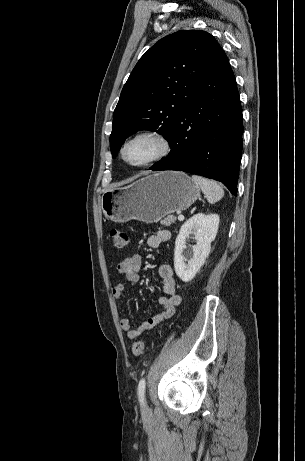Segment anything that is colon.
<instances>
[{
    "label": "colon",
    "mask_w": 305,
    "mask_h": 461,
    "mask_svg": "<svg viewBox=\"0 0 305 461\" xmlns=\"http://www.w3.org/2000/svg\"><path fill=\"white\" fill-rule=\"evenodd\" d=\"M110 239L117 250H124L128 244V235L119 230H111L109 233ZM145 343L143 341H135L132 344V353L135 356H141L144 353Z\"/></svg>",
    "instance_id": "1"
}]
</instances>
